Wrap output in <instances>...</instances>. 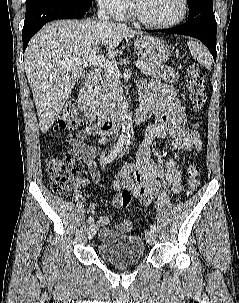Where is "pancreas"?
I'll use <instances>...</instances> for the list:
<instances>
[{"instance_id": "1", "label": "pancreas", "mask_w": 239, "mask_h": 303, "mask_svg": "<svg viewBox=\"0 0 239 303\" xmlns=\"http://www.w3.org/2000/svg\"><path fill=\"white\" fill-rule=\"evenodd\" d=\"M139 60L148 65L147 68H141V71L146 75L162 79L168 83H175L180 77L172 67L154 63L145 56H141ZM121 98L122 91L119 78L107 72L95 88L92 109L97 115L108 114L116 108Z\"/></svg>"}]
</instances>
